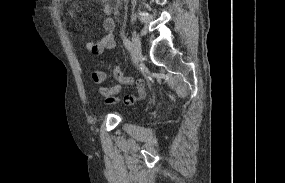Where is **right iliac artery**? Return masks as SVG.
Listing matches in <instances>:
<instances>
[{"label":"right iliac artery","mask_w":285,"mask_h":183,"mask_svg":"<svg viewBox=\"0 0 285 183\" xmlns=\"http://www.w3.org/2000/svg\"><path fill=\"white\" fill-rule=\"evenodd\" d=\"M123 44L127 50H132V42L129 39H124Z\"/></svg>","instance_id":"right-iliac-artery-1"}]
</instances>
